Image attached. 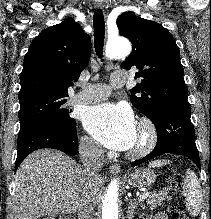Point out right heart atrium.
I'll list each match as a JSON object with an SVG mask.
<instances>
[{"instance_id": "d8ad5b80", "label": "right heart atrium", "mask_w": 211, "mask_h": 219, "mask_svg": "<svg viewBox=\"0 0 211 219\" xmlns=\"http://www.w3.org/2000/svg\"><path fill=\"white\" fill-rule=\"evenodd\" d=\"M80 149L92 156H98L101 153V147L93 138L88 135H82L79 139Z\"/></svg>"}]
</instances>
